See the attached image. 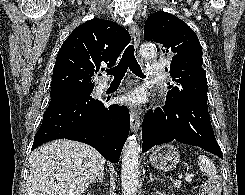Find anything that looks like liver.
Here are the masks:
<instances>
[{"instance_id": "liver-1", "label": "liver", "mask_w": 245, "mask_h": 195, "mask_svg": "<svg viewBox=\"0 0 245 195\" xmlns=\"http://www.w3.org/2000/svg\"><path fill=\"white\" fill-rule=\"evenodd\" d=\"M91 146L66 139L44 144L30 155L28 195H81L104 169Z\"/></svg>"}]
</instances>
